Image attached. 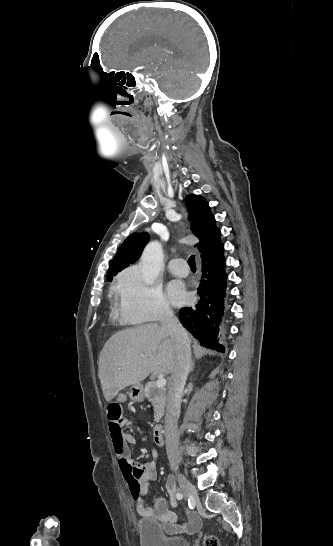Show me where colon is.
<instances>
[{"mask_svg": "<svg viewBox=\"0 0 333 546\" xmlns=\"http://www.w3.org/2000/svg\"><path fill=\"white\" fill-rule=\"evenodd\" d=\"M105 411L107 413V417L113 421L117 418H123L125 413L120 400H111L109 404H107ZM209 544L210 546H217L218 543L216 539L211 538Z\"/></svg>", "mask_w": 333, "mask_h": 546, "instance_id": "5ec220e1", "label": "colon"}]
</instances>
